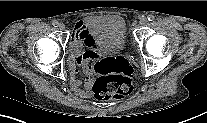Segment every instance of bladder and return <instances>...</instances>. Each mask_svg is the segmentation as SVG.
<instances>
[{"mask_svg":"<svg viewBox=\"0 0 207 123\" xmlns=\"http://www.w3.org/2000/svg\"><path fill=\"white\" fill-rule=\"evenodd\" d=\"M91 42L88 46L103 52H116L125 44L126 24L118 15L89 16L85 19Z\"/></svg>","mask_w":207,"mask_h":123,"instance_id":"31cf9c89","label":"bladder"}]
</instances>
